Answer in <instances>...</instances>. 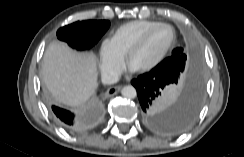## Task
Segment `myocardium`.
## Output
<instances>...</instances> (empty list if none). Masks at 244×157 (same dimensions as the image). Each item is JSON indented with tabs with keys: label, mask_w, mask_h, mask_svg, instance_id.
Wrapping results in <instances>:
<instances>
[{
	"label": "myocardium",
	"mask_w": 244,
	"mask_h": 157,
	"mask_svg": "<svg viewBox=\"0 0 244 157\" xmlns=\"http://www.w3.org/2000/svg\"><path fill=\"white\" fill-rule=\"evenodd\" d=\"M160 27H167V28H170L172 30V32H173L172 40H171L170 44L164 49V51L154 61H152L148 65H145L141 68L136 69L138 72H141V73L148 72V71L154 69L156 66H158L163 61V59L168 55V53L171 51V49L174 47V45L176 43L177 33H176L175 27L169 23L160 22V23L150 27L149 29H147L137 39V41L128 49V51L125 54L126 63L128 65H130V61H131V58L133 57V55L143 46V44L145 43L148 36L154 30H156Z\"/></svg>",
	"instance_id": "myocardium-1"
}]
</instances>
